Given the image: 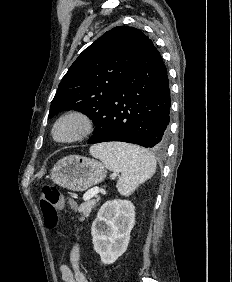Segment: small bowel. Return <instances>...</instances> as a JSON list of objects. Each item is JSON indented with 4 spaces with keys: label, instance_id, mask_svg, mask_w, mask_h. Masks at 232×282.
I'll list each match as a JSON object with an SVG mask.
<instances>
[{
    "label": "small bowel",
    "instance_id": "1",
    "mask_svg": "<svg viewBox=\"0 0 232 282\" xmlns=\"http://www.w3.org/2000/svg\"><path fill=\"white\" fill-rule=\"evenodd\" d=\"M80 246L75 244L69 254V264H62L60 271L64 282H89L80 269Z\"/></svg>",
    "mask_w": 232,
    "mask_h": 282
}]
</instances>
